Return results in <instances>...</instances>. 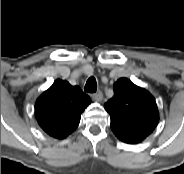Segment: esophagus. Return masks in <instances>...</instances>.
<instances>
[{"label":"esophagus","mask_w":184,"mask_h":174,"mask_svg":"<svg viewBox=\"0 0 184 174\" xmlns=\"http://www.w3.org/2000/svg\"><path fill=\"white\" fill-rule=\"evenodd\" d=\"M91 97H92V99H93L94 101L100 102V101H102V99H103V93H102L101 91H99V92H97V93L92 94Z\"/></svg>","instance_id":"obj_1"}]
</instances>
